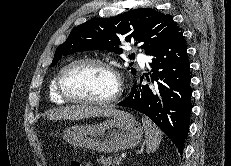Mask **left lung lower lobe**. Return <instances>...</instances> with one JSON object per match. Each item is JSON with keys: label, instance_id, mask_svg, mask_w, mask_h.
Instances as JSON below:
<instances>
[{"label": "left lung lower lobe", "instance_id": "1", "mask_svg": "<svg viewBox=\"0 0 231 166\" xmlns=\"http://www.w3.org/2000/svg\"><path fill=\"white\" fill-rule=\"evenodd\" d=\"M150 56L152 85L134 82L130 94L118 105L147 115L175 144L180 154L190 125L192 110L190 62L183 32L177 26Z\"/></svg>", "mask_w": 231, "mask_h": 166}]
</instances>
